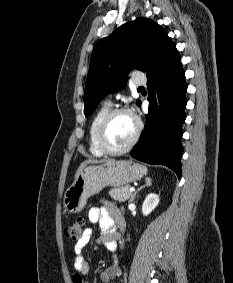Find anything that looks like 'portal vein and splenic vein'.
Returning a JSON list of instances; mask_svg holds the SVG:
<instances>
[{"instance_id": "18ae733b", "label": "portal vein and splenic vein", "mask_w": 233, "mask_h": 283, "mask_svg": "<svg viewBox=\"0 0 233 283\" xmlns=\"http://www.w3.org/2000/svg\"><path fill=\"white\" fill-rule=\"evenodd\" d=\"M129 191H130V192H134V191H135V188H134V187H131V188L129 189Z\"/></svg>"}]
</instances>
